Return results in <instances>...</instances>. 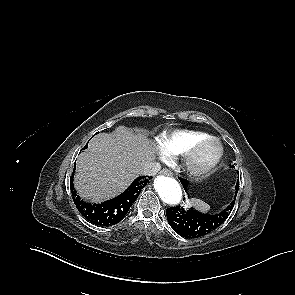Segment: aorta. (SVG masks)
<instances>
[{"label":"aorta","instance_id":"1","mask_svg":"<svg viewBox=\"0 0 295 295\" xmlns=\"http://www.w3.org/2000/svg\"><path fill=\"white\" fill-rule=\"evenodd\" d=\"M154 188L160 198L167 204L177 205L182 200L181 186L174 178L163 175L157 176L154 180Z\"/></svg>","mask_w":295,"mask_h":295}]
</instances>
